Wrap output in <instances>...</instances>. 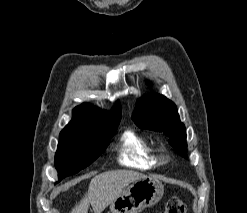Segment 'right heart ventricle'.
Masks as SVG:
<instances>
[{
	"mask_svg": "<svg viewBox=\"0 0 247 213\" xmlns=\"http://www.w3.org/2000/svg\"><path fill=\"white\" fill-rule=\"evenodd\" d=\"M118 156L122 165L134 169H153L159 163L152 143L133 129L122 133Z\"/></svg>",
	"mask_w": 247,
	"mask_h": 213,
	"instance_id": "right-heart-ventricle-1",
	"label": "right heart ventricle"
}]
</instances>
